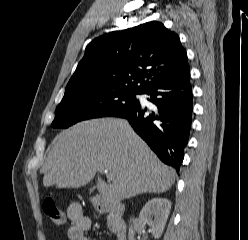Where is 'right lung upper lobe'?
I'll use <instances>...</instances> for the list:
<instances>
[{"instance_id": "cb5924a9", "label": "right lung upper lobe", "mask_w": 248, "mask_h": 240, "mask_svg": "<svg viewBox=\"0 0 248 240\" xmlns=\"http://www.w3.org/2000/svg\"><path fill=\"white\" fill-rule=\"evenodd\" d=\"M188 70L179 36L161 22L151 21L91 41L66 90L105 88L144 93Z\"/></svg>"}]
</instances>
